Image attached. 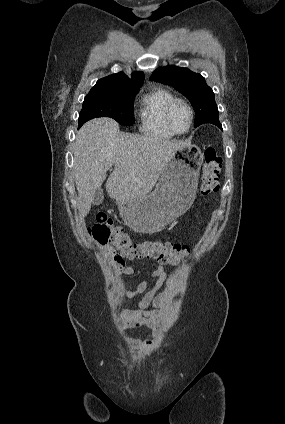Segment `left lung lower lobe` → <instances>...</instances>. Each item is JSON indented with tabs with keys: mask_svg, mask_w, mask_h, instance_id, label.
Returning a JSON list of instances; mask_svg holds the SVG:
<instances>
[{
	"mask_svg": "<svg viewBox=\"0 0 285 424\" xmlns=\"http://www.w3.org/2000/svg\"><path fill=\"white\" fill-rule=\"evenodd\" d=\"M218 127L222 128V126H221L220 122L218 123Z\"/></svg>",
	"mask_w": 285,
	"mask_h": 424,
	"instance_id": "obj_1",
	"label": "left lung lower lobe"
}]
</instances>
